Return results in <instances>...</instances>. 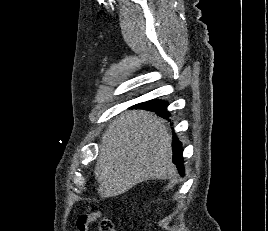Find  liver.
<instances>
[{"label":"liver","mask_w":268,"mask_h":231,"mask_svg":"<svg viewBox=\"0 0 268 231\" xmlns=\"http://www.w3.org/2000/svg\"><path fill=\"white\" fill-rule=\"evenodd\" d=\"M94 173L102 198L150 179H171L176 174L172 136L163 120L145 110L122 113L102 136Z\"/></svg>","instance_id":"liver-1"}]
</instances>
